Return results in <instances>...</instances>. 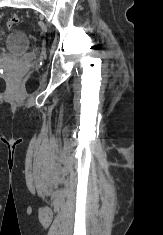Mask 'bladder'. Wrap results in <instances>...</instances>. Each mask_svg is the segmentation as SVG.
Returning a JSON list of instances; mask_svg holds the SVG:
<instances>
[{"instance_id": "1", "label": "bladder", "mask_w": 163, "mask_h": 235, "mask_svg": "<svg viewBox=\"0 0 163 235\" xmlns=\"http://www.w3.org/2000/svg\"><path fill=\"white\" fill-rule=\"evenodd\" d=\"M30 46V40L27 33L15 30L9 32L3 41V47L13 53H22Z\"/></svg>"}]
</instances>
